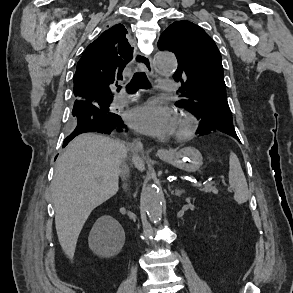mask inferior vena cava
<instances>
[{
  "mask_svg": "<svg viewBox=\"0 0 293 293\" xmlns=\"http://www.w3.org/2000/svg\"><path fill=\"white\" fill-rule=\"evenodd\" d=\"M129 173V168L128 166H126L125 164L122 165V169H121V176L123 177V179H125V176L128 175ZM124 188H126V186H124Z\"/></svg>",
  "mask_w": 293,
  "mask_h": 293,
  "instance_id": "602c4592",
  "label": "inferior vena cava"
}]
</instances>
